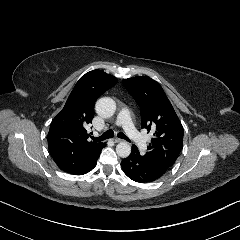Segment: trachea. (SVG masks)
<instances>
[{
    "label": "trachea",
    "instance_id": "obj_1",
    "mask_svg": "<svg viewBox=\"0 0 240 240\" xmlns=\"http://www.w3.org/2000/svg\"><path fill=\"white\" fill-rule=\"evenodd\" d=\"M114 137V132L113 130L109 129L107 130L105 133H103L100 137H93L92 140L95 142H100V141H104L106 139H111ZM117 137L120 138V139H124V140H127L128 142H130V139L125 135L123 134L122 132H119L117 134Z\"/></svg>",
    "mask_w": 240,
    "mask_h": 240
}]
</instances>
